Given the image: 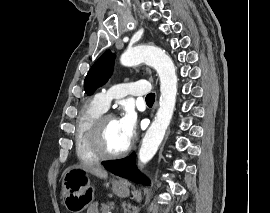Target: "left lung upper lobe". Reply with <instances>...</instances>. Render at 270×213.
Segmentation results:
<instances>
[{
	"label": "left lung upper lobe",
	"mask_w": 270,
	"mask_h": 213,
	"mask_svg": "<svg viewBox=\"0 0 270 213\" xmlns=\"http://www.w3.org/2000/svg\"><path fill=\"white\" fill-rule=\"evenodd\" d=\"M114 59L115 55L107 50L94 63L85 78L84 89L87 94H92L96 88L106 83L113 72Z\"/></svg>",
	"instance_id": "obj_1"
}]
</instances>
